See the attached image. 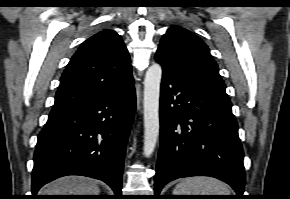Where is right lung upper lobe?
<instances>
[{"label":"right lung upper lobe","mask_w":290,"mask_h":199,"mask_svg":"<svg viewBox=\"0 0 290 199\" xmlns=\"http://www.w3.org/2000/svg\"><path fill=\"white\" fill-rule=\"evenodd\" d=\"M131 82L128 50L115 31L105 29L84 41L71 58L52 110L123 91Z\"/></svg>","instance_id":"obj_1"}]
</instances>
